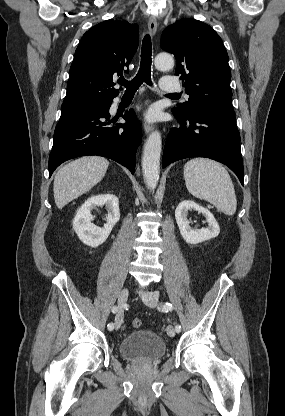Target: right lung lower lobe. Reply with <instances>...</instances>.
<instances>
[{
  "instance_id": "98d812e1",
  "label": "right lung lower lobe",
  "mask_w": 285,
  "mask_h": 416,
  "mask_svg": "<svg viewBox=\"0 0 285 416\" xmlns=\"http://www.w3.org/2000/svg\"><path fill=\"white\" fill-rule=\"evenodd\" d=\"M110 106L61 115L54 132L49 156V177L63 162L86 155H98L117 161L135 171V155L141 142V127L134 119V111H126V124L108 127ZM123 129H120V128Z\"/></svg>"
}]
</instances>
